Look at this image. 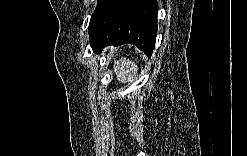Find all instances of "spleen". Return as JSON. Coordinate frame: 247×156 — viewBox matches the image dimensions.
I'll return each mask as SVG.
<instances>
[{
  "instance_id": "spleen-1",
  "label": "spleen",
  "mask_w": 247,
  "mask_h": 156,
  "mask_svg": "<svg viewBox=\"0 0 247 156\" xmlns=\"http://www.w3.org/2000/svg\"><path fill=\"white\" fill-rule=\"evenodd\" d=\"M114 70L117 75V80L121 83H129L136 79L138 74V65L125 57L114 62Z\"/></svg>"
}]
</instances>
